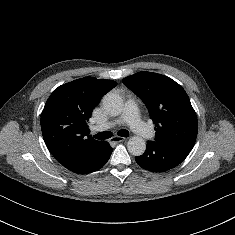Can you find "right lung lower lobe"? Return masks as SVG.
<instances>
[{
  "mask_svg": "<svg viewBox=\"0 0 235 235\" xmlns=\"http://www.w3.org/2000/svg\"><path fill=\"white\" fill-rule=\"evenodd\" d=\"M112 150L113 149L110 147V145L106 141H103L102 144L93 148L89 152L84 162L73 172L86 174L99 170L110 158Z\"/></svg>",
  "mask_w": 235,
  "mask_h": 235,
  "instance_id": "98d812e1",
  "label": "right lung lower lobe"
}]
</instances>
